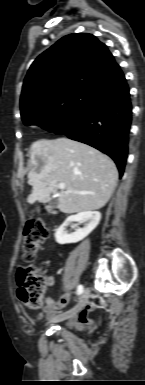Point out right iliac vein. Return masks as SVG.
<instances>
[{
    "instance_id": "63e3f726",
    "label": "right iliac vein",
    "mask_w": 145,
    "mask_h": 385,
    "mask_svg": "<svg viewBox=\"0 0 145 385\" xmlns=\"http://www.w3.org/2000/svg\"><path fill=\"white\" fill-rule=\"evenodd\" d=\"M89 296H90L89 289H85L83 291L77 305L74 308L70 309L67 312H64V313L58 315L57 317L52 319V321L53 322L62 321V320L68 319V318L76 315L85 306V304L87 303V301L89 299Z\"/></svg>"
}]
</instances>
